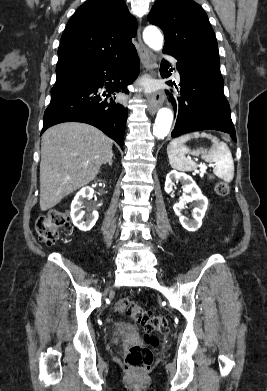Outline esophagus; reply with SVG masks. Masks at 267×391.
<instances>
[{
    "instance_id": "1",
    "label": "esophagus",
    "mask_w": 267,
    "mask_h": 391,
    "mask_svg": "<svg viewBox=\"0 0 267 391\" xmlns=\"http://www.w3.org/2000/svg\"><path fill=\"white\" fill-rule=\"evenodd\" d=\"M138 38L140 41V56L141 60L146 67V70H150L152 68V53L151 51L142 44L140 40V28L138 29ZM164 100L163 91L154 92L152 95L148 97V106L151 114H155L156 111L160 108Z\"/></svg>"
}]
</instances>
